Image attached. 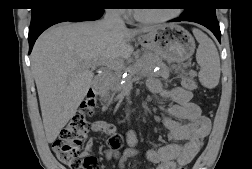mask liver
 <instances>
[{"label": "liver", "instance_id": "1", "mask_svg": "<svg viewBox=\"0 0 252 169\" xmlns=\"http://www.w3.org/2000/svg\"><path fill=\"white\" fill-rule=\"evenodd\" d=\"M139 29L108 27L104 20L65 22L51 27L36 41L31 53L46 139L53 143L75 115L92 85L90 68L99 61L128 59Z\"/></svg>", "mask_w": 252, "mask_h": 169}]
</instances>
